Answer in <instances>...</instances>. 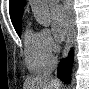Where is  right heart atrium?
<instances>
[{
    "instance_id": "right-heart-atrium-1",
    "label": "right heart atrium",
    "mask_w": 89,
    "mask_h": 89,
    "mask_svg": "<svg viewBox=\"0 0 89 89\" xmlns=\"http://www.w3.org/2000/svg\"><path fill=\"white\" fill-rule=\"evenodd\" d=\"M39 37L42 51L46 55L52 56L55 47V42L51 35V32L48 29L44 28L39 32Z\"/></svg>"
}]
</instances>
